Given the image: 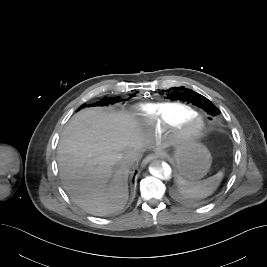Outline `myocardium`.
<instances>
[{"instance_id":"obj_1","label":"myocardium","mask_w":267,"mask_h":267,"mask_svg":"<svg viewBox=\"0 0 267 267\" xmlns=\"http://www.w3.org/2000/svg\"><path fill=\"white\" fill-rule=\"evenodd\" d=\"M173 133V138L178 142L191 143L199 139L206 128L204 119L199 114L183 118L174 125L167 126Z\"/></svg>"}]
</instances>
